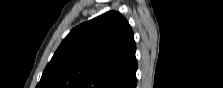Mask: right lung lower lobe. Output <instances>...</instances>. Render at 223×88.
Segmentation results:
<instances>
[{
	"label": "right lung lower lobe",
	"mask_w": 223,
	"mask_h": 88,
	"mask_svg": "<svg viewBox=\"0 0 223 88\" xmlns=\"http://www.w3.org/2000/svg\"><path fill=\"white\" fill-rule=\"evenodd\" d=\"M136 85H137V79H134L132 83V88H136Z\"/></svg>",
	"instance_id": "1"
}]
</instances>
